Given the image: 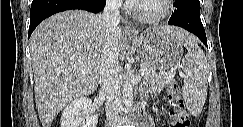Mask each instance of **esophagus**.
Listing matches in <instances>:
<instances>
[{
    "label": "esophagus",
    "mask_w": 243,
    "mask_h": 127,
    "mask_svg": "<svg viewBox=\"0 0 243 127\" xmlns=\"http://www.w3.org/2000/svg\"><path fill=\"white\" fill-rule=\"evenodd\" d=\"M124 33L128 34V35H133L136 33V30L133 25H131L129 22L125 21Z\"/></svg>",
    "instance_id": "obj_1"
}]
</instances>
